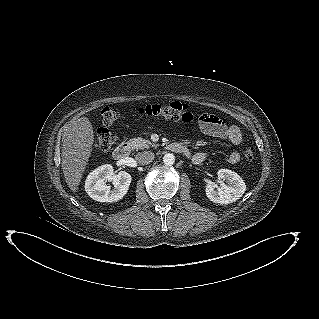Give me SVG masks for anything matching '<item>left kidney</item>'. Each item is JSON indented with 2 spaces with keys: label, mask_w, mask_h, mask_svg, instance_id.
I'll return each mask as SVG.
<instances>
[{
  "label": "left kidney",
  "mask_w": 319,
  "mask_h": 319,
  "mask_svg": "<svg viewBox=\"0 0 319 319\" xmlns=\"http://www.w3.org/2000/svg\"><path fill=\"white\" fill-rule=\"evenodd\" d=\"M218 178L225 181L220 187L206 186V195L214 203L229 204L238 200L246 191L243 179L234 171L220 169L217 172Z\"/></svg>",
  "instance_id": "1"
}]
</instances>
